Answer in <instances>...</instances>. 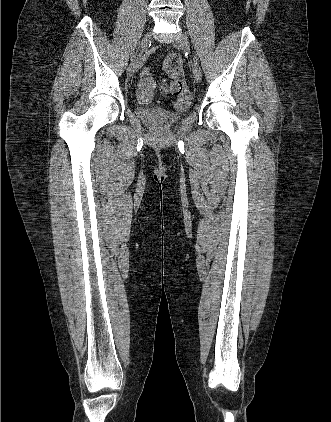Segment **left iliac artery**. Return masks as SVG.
Returning a JSON list of instances; mask_svg holds the SVG:
<instances>
[{
    "label": "left iliac artery",
    "instance_id": "left-iliac-artery-1",
    "mask_svg": "<svg viewBox=\"0 0 331 422\" xmlns=\"http://www.w3.org/2000/svg\"><path fill=\"white\" fill-rule=\"evenodd\" d=\"M194 59H195V61H196V63H197V58L196 57H194ZM198 64V63H197Z\"/></svg>",
    "mask_w": 331,
    "mask_h": 422
}]
</instances>
